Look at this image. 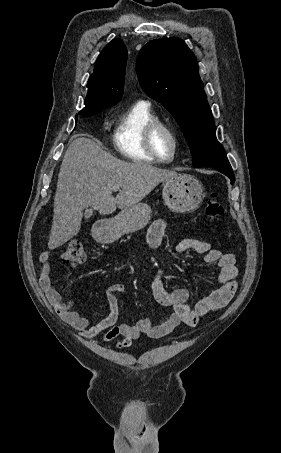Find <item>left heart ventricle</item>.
Segmentation results:
<instances>
[{
  "label": "left heart ventricle",
  "mask_w": 281,
  "mask_h": 453,
  "mask_svg": "<svg viewBox=\"0 0 281 453\" xmlns=\"http://www.w3.org/2000/svg\"><path fill=\"white\" fill-rule=\"evenodd\" d=\"M157 150L165 159H168L171 156V140L167 135H160L157 141Z\"/></svg>",
  "instance_id": "1"
}]
</instances>
